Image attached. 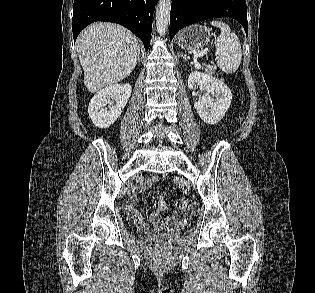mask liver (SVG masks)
Wrapping results in <instances>:
<instances>
[{
    "label": "liver",
    "instance_id": "liver-1",
    "mask_svg": "<svg viewBox=\"0 0 315 293\" xmlns=\"http://www.w3.org/2000/svg\"><path fill=\"white\" fill-rule=\"evenodd\" d=\"M77 48L84 84L91 93L126 78L134 70L140 55V42L136 36L113 23L88 26L79 35Z\"/></svg>",
    "mask_w": 315,
    "mask_h": 293
}]
</instances>
